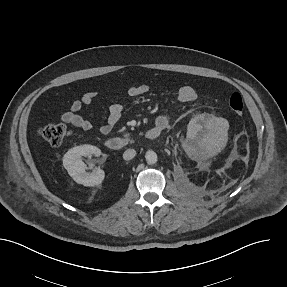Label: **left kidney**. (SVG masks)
I'll return each mask as SVG.
<instances>
[{"mask_svg": "<svg viewBox=\"0 0 287 287\" xmlns=\"http://www.w3.org/2000/svg\"><path fill=\"white\" fill-rule=\"evenodd\" d=\"M202 133L200 132V125L197 123L196 119H192L187 127V138L188 140H196L198 138H201ZM224 136H221L219 139H217V143L222 142ZM222 148V145H217L214 147V153L218 152Z\"/></svg>", "mask_w": 287, "mask_h": 287, "instance_id": "obj_1", "label": "left kidney"}]
</instances>
